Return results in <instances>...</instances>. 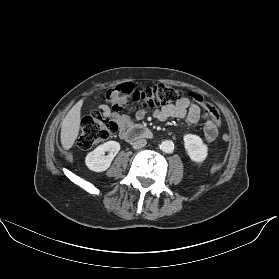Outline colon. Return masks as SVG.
<instances>
[{"label":"colon","mask_w":279,"mask_h":279,"mask_svg":"<svg viewBox=\"0 0 279 279\" xmlns=\"http://www.w3.org/2000/svg\"><path fill=\"white\" fill-rule=\"evenodd\" d=\"M181 92L166 84H157L143 89H137L131 82L118 84L108 90L103 99L110 106L109 112L95 111L82 119L81 129L77 139L78 148L87 151L98 146L113 135L119 127L118 113L133 104L137 111L168 106L181 99ZM193 98L202 104L209 113L213 123L218 128L220 116L217 109L205 101L199 94H192ZM227 140V135L223 136Z\"/></svg>","instance_id":"colon-1"}]
</instances>
